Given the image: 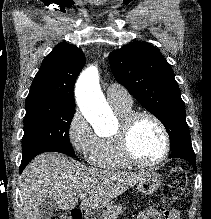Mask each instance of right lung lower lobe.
Instances as JSON below:
<instances>
[{"instance_id":"1","label":"right lung lower lobe","mask_w":211,"mask_h":219,"mask_svg":"<svg viewBox=\"0 0 211 219\" xmlns=\"http://www.w3.org/2000/svg\"><path fill=\"white\" fill-rule=\"evenodd\" d=\"M34 157H35V156H34ZM34 157H30V158H27V159H22L21 166H20V169H19V172H20V173H22L23 169L26 167V165H27Z\"/></svg>"}]
</instances>
